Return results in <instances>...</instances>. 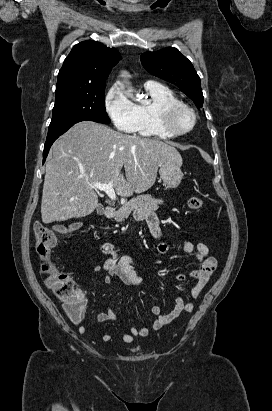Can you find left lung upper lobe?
I'll use <instances>...</instances> for the list:
<instances>
[{
    "label": "left lung upper lobe",
    "instance_id": "left-lung-upper-lobe-1",
    "mask_svg": "<svg viewBox=\"0 0 272 411\" xmlns=\"http://www.w3.org/2000/svg\"><path fill=\"white\" fill-rule=\"evenodd\" d=\"M144 68L161 79L178 86L195 105H203L200 78L193 65L176 48L168 47L155 52H146L140 57Z\"/></svg>",
    "mask_w": 272,
    "mask_h": 411
}]
</instances>
